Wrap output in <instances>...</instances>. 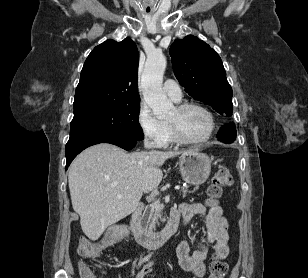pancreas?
<instances>
[{
  "label": "pancreas",
  "mask_w": 308,
  "mask_h": 278,
  "mask_svg": "<svg viewBox=\"0 0 308 278\" xmlns=\"http://www.w3.org/2000/svg\"><path fill=\"white\" fill-rule=\"evenodd\" d=\"M190 193L187 188L182 189L183 195L186 193ZM164 205L159 201H155L154 203L148 205L142 215V226L145 231L152 232L155 230L156 225L159 224V220L164 221L165 219L162 217Z\"/></svg>",
  "instance_id": "cf45deb5"
}]
</instances>
